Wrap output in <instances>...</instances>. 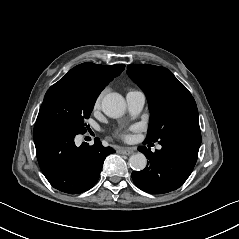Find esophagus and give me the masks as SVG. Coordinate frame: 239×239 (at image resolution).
Segmentation results:
<instances>
[{
    "mask_svg": "<svg viewBox=\"0 0 239 239\" xmlns=\"http://www.w3.org/2000/svg\"><path fill=\"white\" fill-rule=\"evenodd\" d=\"M118 153L123 155H130L133 153V150L132 148H124V149L118 150Z\"/></svg>",
    "mask_w": 239,
    "mask_h": 239,
    "instance_id": "34e87169",
    "label": "esophagus"
}]
</instances>
